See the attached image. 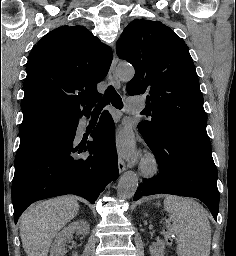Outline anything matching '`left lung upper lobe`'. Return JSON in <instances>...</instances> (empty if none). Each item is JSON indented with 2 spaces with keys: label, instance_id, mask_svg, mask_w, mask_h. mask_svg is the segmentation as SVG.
Segmentation results:
<instances>
[{
  "label": "left lung upper lobe",
  "instance_id": "5c2ea615",
  "mask_svg": "<svg viewBox=\"0 0 236 256\" xmlns=\"http://www.w3.org/2000/svg\"><path fill=\"white\" fill-rule=\"evenodd\" d=\"M116 52L135 69L128 94L148 95L144 111L152 119L138 124L142 135L156 140L168 129L209 140L196 69L187 45L172 29L136 19L124 29Z\"/></svg>",
  "mask_w": 236,
  "mask_h": 256
}]
</instances>
